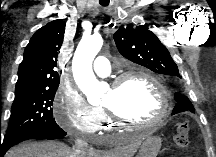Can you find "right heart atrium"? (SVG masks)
I'll use <instances>...</instances> for the list:
<instances>
[{
    "instance_id": "1",
    "label": "right heart atrium",
    "mask_w": 216,
    "mask_h": 157,
    "mask_svg": "<svg viewBox=\"0 0 216 157\" xmlns=\"http://www.w3.org/2000/svg\"><path fill=\"white\" fill-rule=\"evenodd\" d=\"M56 122L69 133L81 136L95 134L104 121L101 107L91 105L75 88H61L53 103Z\"/></svg>"
}]
</instances>
